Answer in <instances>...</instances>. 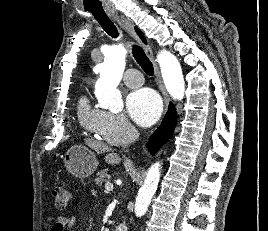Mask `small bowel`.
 I'll return each instance as SVG.
<instances>
[{
    "label": "small bowel",
    "mask_w": 268,
    "mask_h": 231,
    "mask_svg": "<svg viewBox=\"0 0 268 231\" xmlns=\"http://www.w3.org/2000/svg\"><path fill=\"white\" fill-rule=\"evenodd\" d=\"M77 223V216L75 214H67L58 216L51 227V231H65L72 229Z\"/></svg>",
    "instance_id": "obj_1"
}]
</instances>
